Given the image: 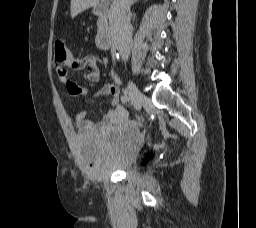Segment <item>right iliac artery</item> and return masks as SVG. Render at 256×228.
<instances>
[{"label": "right iliac artery", "mask_w": 256, "mask_h": 228, "mask_svg": "<svg viewBox=\"0 0 256 228\" xmlns=\"http://www.w3.org/2000/svg\"><path fill=\"white\" fill-rule=\"evenodd\" d=\"M121 99H122V101H123L124 103H127V102L130 101V98H129V96H128L127 94H124Z\"/></svg>", "instance_id": "obj_1"}]
</instances>
